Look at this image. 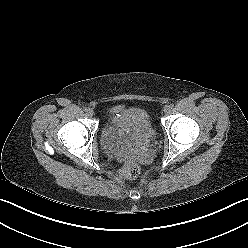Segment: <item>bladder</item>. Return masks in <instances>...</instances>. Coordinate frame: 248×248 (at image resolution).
I'll use <instances>...</instances> for the list:
<instances>
[{
	"label": "bladder",
	"instance_id": "bladder-1",
	"mask_svg": "<svg viewBox=\"0 0 248 248\" xmlns=\"http://www.w3.org/2000/svg\"><path fill=\"white\" fill-rule=\"evenodd\" d=\"M155 127L151 112L144 107H117L106 116L100 142L105 149H116L134 137L152 140Z\"/></svg>",
	"mask_w": 248,
	"mask_h": 248
}]
</instances>
